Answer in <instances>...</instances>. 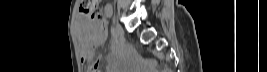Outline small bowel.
Returning a JSON list of instances; mask_svg holds the SVG:
<instances>
[{"mask_svg": "<svg viewBox=\"0 0 267 72\" xmlns=\"http://www.w3.org/2000/svg\"><path fill=\"white\" fill-rule=\"evenodd\" d=\"M111 11H112V7L110 5H106L105 6V13L109 15L111 13ZM105 39H106V33H102L101 35H98L95 32V33L91 34V38H90L89 43L93 47H96V46L100 45L101 43H103ZM82 54H83V60L86 62L92 56V52L87 50V49H83ZM108 71H112L111 64H109V66H108Z\"/></svg>", "mask_w": 267, "mask_h": 72, "instance_id": "c3829d8e", "label": "small bowel"}]
</instances>
